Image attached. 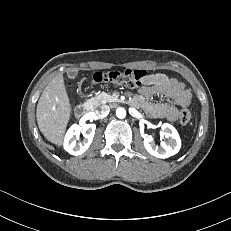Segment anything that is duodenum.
Returning <instances> with one entry per match:
<instances>
[{
  "label": "duodenum",
  "instance_id": "1",
  "mask_svg": "<svg viewBox=\"0 0 231 231\" xmlns=\"http://www.w3.org/2000/svg\"><path fill=\"white\" fill-rule=\"evenodd\" d=\"M92 107L89 104H81L75 108V115L77 117H82L85 114L89 113L91 111Z\"/></svg>",
  "mask_w": 231,
  "mask_h": 231
}]
</instances>
